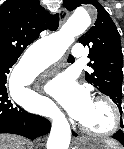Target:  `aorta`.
I'll return each instance as SVG.
<instances>
[{"instance_id": "762f6f07", "label": "aorta", "mask_w": 124, "mask_h": 149, "mask_svg": "<svg viewBox=\"0 0 124 149\" xmlns=\"http://www.w3.org/2000/svg\"><path fill=\"white\" fill-rule=\"evenodd\" d=\"M90 24L91 18L88 12L82 8L77 9L59 31L46 37L41 44L44 49L51 48L58 53H64L73 43L74 37L86 30ZM41 52H43V47L36 50L29 59L20 61L12 73L11 83L18 81L21 88L25 85L24 77L32 72L30 62ZM49 116L52 118V128L46 149H68L71 130L65 115L55 105H52Z\"/></svg>"}]
</instances>
